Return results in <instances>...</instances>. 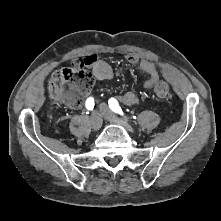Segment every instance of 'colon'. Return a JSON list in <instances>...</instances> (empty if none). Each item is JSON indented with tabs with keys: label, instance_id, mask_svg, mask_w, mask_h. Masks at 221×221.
I'll use <instances>...</instances> for the list:
<instances>
[{
	"label": "colon",
	"instance_id": "5ec220e1",
	"mask_svg": "<svg viewBox=\"0 0 221 221\" xmlns=\"http://www.w3.org/2000/svg\"><path fill=\"white\" fill-rule=\"evenodd\" d=\"M87 65L88 63L84 59L77 60L70 66L53 73L47 84L49 93L72 107H79L94 85L93 76L86 68ZM154 91L160 99L169 100L171 98L169 85L165 81H159Z\"/></svg>",
	"mask_w": 221,
	"mask_h": 221
}]
</instances>
